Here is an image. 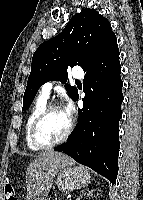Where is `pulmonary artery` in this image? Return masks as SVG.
Masks as SVG:
<instances>
[{
	"instance_id": "pulmonary-artery-1",
	"label": "pulmonary artery",
	"mask_w": 143,
	"mask_h": 200,
	"mask_svg": "<svg viewBox=\"0 0 143 200\" xmlns=\"http://www.w3.org/2000/svg\"><path fill=\"white\" fill-rule=\"evenodd\" d=\"M84 73L83 70L81 68H75L72 73L71 76L75 79H81L83 77ZM54 86V82H46L45 84H43V86L41 87V92L40 94L46 98H48L51 94V91L53 89Z\"/></svg>"
}]
</instances>
